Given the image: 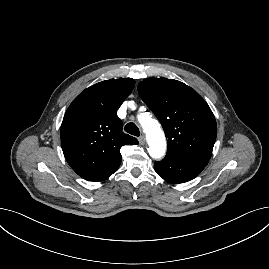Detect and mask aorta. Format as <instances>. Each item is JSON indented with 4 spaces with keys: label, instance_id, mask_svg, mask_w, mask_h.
I'll return each mask as SVG.
<instances>
[{
    "label": "aorta",
    "instance_id": "obj_1",
    "mask_svg": "<svg viewBox=\"0 0 269 269\" xmlns=\"http://www.w3.org/2000/svg\"><path fill=\"white\" fill-rule=\"evenodd\" d=\"M138 121L146 135L149 155L156 160L163 158L166 153L167 143L158 121L147 113L140 114Z\"/></svg>",
    "mask_w": 269,
    "mask_h": 269
}]
</instances>
